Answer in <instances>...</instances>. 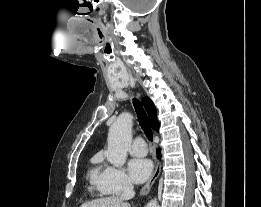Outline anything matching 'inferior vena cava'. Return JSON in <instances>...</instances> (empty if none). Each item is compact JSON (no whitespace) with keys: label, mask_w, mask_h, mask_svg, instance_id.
Segmentation results:
<instances>
[{"label":"inferior vena cava","mask_w":261,"mask_h":207,"mask_svg":"<svg viewBox=\"0 0 261 207\" xmlns=\"http://www.w3.org/2000/svg\"><path fill=\"white\" fill-rule=\"evenodd\" d=\"M135 196L134 187L131 182L126 181L123 186V191L121 194L122 200H129Z\"/></svg>","instance_id":"obj_1"}]
</instances>
